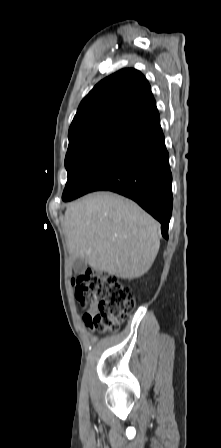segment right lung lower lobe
I'll use <instances>...</instances> for the list:
<instances>
[{"label": "right lung lower lobe", "mask_w": 221, "mask_h": 448, "mask_svg": "<svg viewBox=\"0 0 221 448\" xmlns=\"http://www.w3.org/2000/svg\"><path fill=\"white\" fill-rule=\"evenodd\" d=\"M172 175L159 115L122 137L82 186L78 196L107 190L137 202L161 223L168 239Z\"/></svg>", "instance_id": "98d812e1"}]
</instances>
